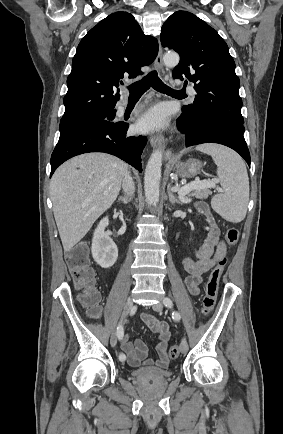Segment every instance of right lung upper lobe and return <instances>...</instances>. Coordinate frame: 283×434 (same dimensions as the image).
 Returning a JSON list of instances; mask_svg holds the SVG:
<instances>
[{"mask_svg": "<svg viewBox=\"0 0 283 434\" xmlns=\"http://www.w3.org/2000/svg\"><path fill=\"white\" fill-rule=\"evenodd\" d=\"M158 54V41L145 35L127 12H115L93 27L78 45L67 78L62 119L114 110L121 79L142 75Z\"/></svg>", "mask_w": 283, "mask_h": 434, "instance_id": "right-lung-upper-lobe-1", "label": "right lung upper lobe"}]
</instances>
